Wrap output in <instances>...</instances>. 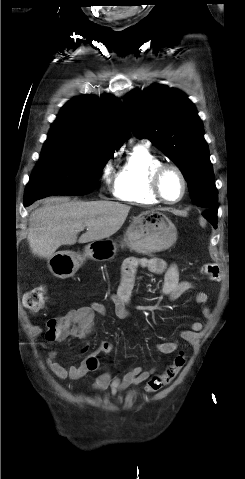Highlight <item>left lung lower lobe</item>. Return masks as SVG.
Returning a JSON list of instances; mask_svg holds the SVG:
<instances>
[{
    "label": "left lung lower lobe",
    "mask_w": 245,
    "mask_h": 479,
    "mask_svg": "<svg viewBox=\"0 0 245 479\" xmlns=\"http://www.w3.org/2000/svg\"><path fill=\"white\" fill-rule=\"evenodd\" d=\"M217 207L205 209L203 217L211 222V224L217 228Z\"/></svg>",
    "instance_id": "0a47b994"
}]
</instances>
